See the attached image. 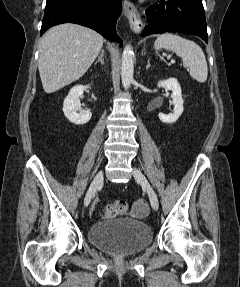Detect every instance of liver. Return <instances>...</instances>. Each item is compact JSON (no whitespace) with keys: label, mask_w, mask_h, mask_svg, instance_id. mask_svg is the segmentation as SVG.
Returning a JSON list of instances; mask_svg holds the SVG:
<instances>
[{"label":"liver","mask_w":240,"mask_h":287,"mask_svg":"<svg viewBox=\"0 0 240 287\" xmlns=\"http://www.w3.org/2000/svg\"><path fill=\"white\" fill-rule=\"evenodd\" d=\"M103 41L96 31L77 24H60L47 31L41 39L38 61L44 91L53 93L82 77Z\"/></svg>","instance_id":"1"}]
</instances>
